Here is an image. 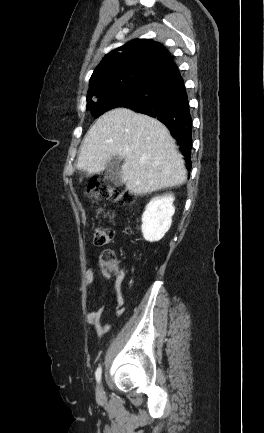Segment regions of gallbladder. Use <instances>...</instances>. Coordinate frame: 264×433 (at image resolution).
Here are the masks:
<instances>
[{
    "label": "gallbladder",
    "mask_w": 264,
    "mask_h": 433,
    "mask_svg": "<svg viewBox=\"0 0 264 433\" xmlns=\"http://www.w3.org/2000/svg\"><path fill=\"white\" fill-rule=\"evenodd\" d=\"M105 179L111 181L115 185H121V173L119 166V159L117 157H113L106 166L105 169Z\"/></svg>",
    "instance_id": "obj_1"
}]
</instances>
